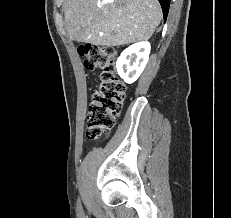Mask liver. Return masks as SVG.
I'll return each mask as SVG.
<instances>
[{"instance_id":"liver-1","label":"liver","mask_w":231,"mask_h":218,"mask_svg":"<svg viewBox=\"0 0 231 218\" xmlns=\"http://www.w3.org/2000/svg\"><path fill=\"white\" fill-rule=\"evenodd\" d=\"M70 38L97 46L149 39L162 19L158 0H66Z\"/></svg>"}]
</instances>
